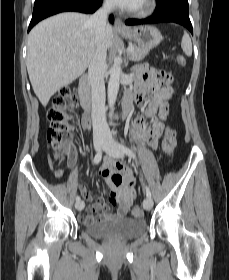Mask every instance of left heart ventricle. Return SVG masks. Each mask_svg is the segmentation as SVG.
Returning a JSON list of instances; mask_svg holds the SVG:
<instances>
[{"instance_id":"1","label":"left heart ventricle","mask_w":229,"mask_h":280,"mask_svg":"<svg viewBox=\"0 0 229 280\" xmlns=\"http://www.w3.org/2000/svg\"><path fill=\"white\" fill-rule=\"evenodd\" d=\"M144 0L139 1L133 8L140 7L143 4Z\"/></svg>"}]
</instances>
